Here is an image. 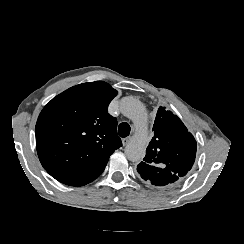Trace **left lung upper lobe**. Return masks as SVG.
I'll return each instance as SVG.
<instances>
[{"instance_id":"5c2ea615","label":"left lung upper lobe","mask_w":244,"mask_h":244,"mask_svg":"<svg viewBox=\"0 0 244 244\" xmlns=\"http://www.w3.org/2000/svg\"><path fill=\"white\" fill-rule=\"evenodd\" d=\"M154 137L137 171L164 183L184 177L196 157V141L186 126L171 111L159 107L153 126Z\"/></svg>"}]
</instances>
